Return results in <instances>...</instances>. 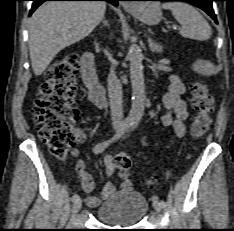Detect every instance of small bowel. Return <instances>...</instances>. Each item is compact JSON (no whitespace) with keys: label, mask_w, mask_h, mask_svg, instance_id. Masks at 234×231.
I'll return each mask as SVG.
<instances>
[{"label":"small bowel","mask_w":234,"mask_h":231,"mask_svg":"<svg viewBox=\"0 0 234 231\" xmlns=\"http://www.w3.org/2000/svg\"><path fill=\"white\" fill-rule=\"evenodd\" d=\"M184 92L185 86L180 78L176 75H172L170 77L169 91L163 96V104L167 109V112L161 117V122L165 127H173L175 138H182L186 133L188 109L185 101L182 99ZM74 134L78 144H81L85 140L84 133L79 129H75ZM142 141L145 143L144 137ZM77 154L78 150L74 149L73 155ZM104 164L107 175L111 176L116 169L114 156L106 154L104 157ZM76 169L80 176L81 187L87 194L86 202L89 207L95 208L99 206L103 200H107L117 191V186L114 183L109 182L104 186L100 196L93 195L92 193L95 188V182L91 175L86 171L84 163L82 161H78ZM131 187L132 184L128 177L123 178L121 190L128 191Z\"/></svg>","instance_id":"c3829d8e"}]
</instances>
